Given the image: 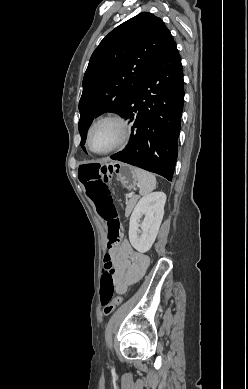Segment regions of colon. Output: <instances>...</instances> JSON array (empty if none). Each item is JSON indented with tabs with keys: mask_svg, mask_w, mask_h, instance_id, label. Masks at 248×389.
<instances>
[{
	"mask_svg": "<svg viewBox=\"0 0 248 389\" xmlns=\"http://www.w3.org/2000/svg\"><path fill=\"white\" fill-rule=\"evenodd\" d=\"M81 166L80 175L86 194L94 202L98 214L107 224L108 247L117 246L121 242L124 229L109 187L111 162L83 161ZM114 276L115 267L107 254L104 258V270L100 284V303L106 316L112 314L123 299L122 295L115 297Z\"/></svg>",
	"mask_w": 248,
	"mask_h": 389,
	"instance_id": "1",
	"label": "colon"
}]
</instances>
